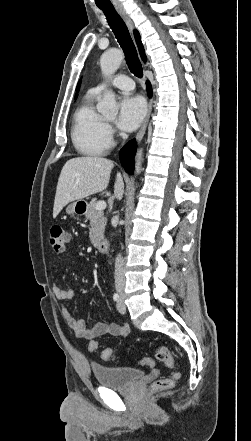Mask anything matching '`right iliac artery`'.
Masks as SVG:
<instances>
[{"label": "right iliac artery", "mask_w": 251, "mask_h": 441, "mask_svg": "<svg viewBox=\"0 0 251 441\" xmlns=\"http://www.w3.org/2000/svg\"><path fill=\"white\" fill-rule=\"evenodd\" d=\"M113 300H114V301H118V300H119V294H118V293H115V294L113 295Z\"/></svg>", "instance_id": "obj_1"}]
</instances>
